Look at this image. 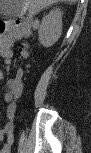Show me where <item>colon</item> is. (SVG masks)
Masks as SVG:
<instances>
[{
  "mask_svg": "<svg viewBox=\"0 0 91 153\" xmlns=\"http://www.w3.org/2000/svg\"><path fill=\"white\" fill-rule=\"evenodd\" d=\"M31 24V18L27 17L25 19H23L22 21H17V23H13L11 25H6V30L8 31V33H5L2 36V42L3 43H8L12 40V38H16L12 35L11 31H14L16 28L18 27H28ZM8 47V46H5Z\"/></svg>",
  "mask_w": 91,
  "mask_h": 153,
  "instance_id": "1",
  "label": "colon"
}]
</instances>
